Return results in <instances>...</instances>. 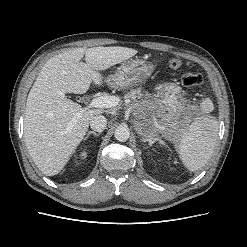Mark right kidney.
I'll list each match as a JSON object with an SVG mask.
<instances>
[{"instance_id":"1","label":"right kidney","mask_w":247,"mask_h":247,"mask_svg":"<svg viewBox=\"0 0 247 247\" xmlns=\"http://www.w3.org/2000/svg\"><path fill=\"white\" fill-rule=\"evenodd\" d=\"M81 158H85L87 156V152L86 151H83L80 153L79 155Z\"/></svg>"}]
</instances>
